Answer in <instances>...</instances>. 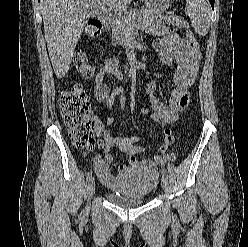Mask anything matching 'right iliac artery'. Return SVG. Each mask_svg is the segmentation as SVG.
<instances>
[{
    "mask_svg": "<svg viewBox=\"0 0 248 247\" xmlns=\"http://www.w3.org/2000/svg\"><path fill=\"white\" fill-rule=\"evenodd\" d=\"M92 178V170L87 173L86 181L89 183Z\"/></svg>",
    "mask_w": 248,
    "mask_h": 247,
    "instance_id": "right-iliac-artery-1",
    "label": "right iliac artery"
}]
</instances>
